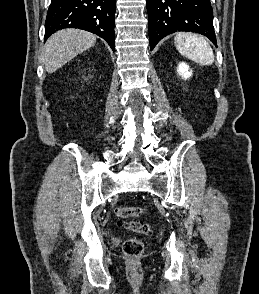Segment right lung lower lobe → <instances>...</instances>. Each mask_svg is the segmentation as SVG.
<instances>
[{"label": "right lung lower lobe", "mask_w": 259, "mask_h": 294, "mask_svg": "<svg viewBox=\"0 0 259 294\" xmlns=\"http://www.w3.org/2000/svg\"><path fill=\"white\" fill-rule=\"evenodd\" d=\"M116 0H51L45 21V40L62 28H79L105 39L115 51Z\"/></svg>", "instance_id": "1"}]
</instances>
